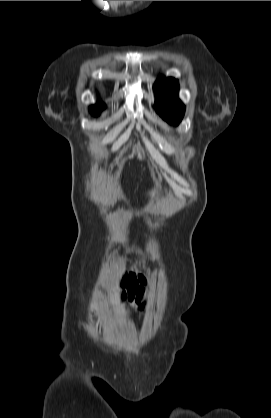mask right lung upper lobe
Instances as JSON below:
<instances>
[{"mask_svg":"<svg viewBox=\"0 0 271 418\" xmlns=\"http://www.w3.org/2000/svg\"><path fill=\"white\" fill-rule=\"evenodd\" d=\"M104 107L103 103L98 104L96 107H92L91 108V112L93 114H99V110L102 109Z\"/></svg>","mask_w":271,"mask_h":418,"instance_id":"cb5924a9","label":"right lung upper lobe"}]
</instances>
